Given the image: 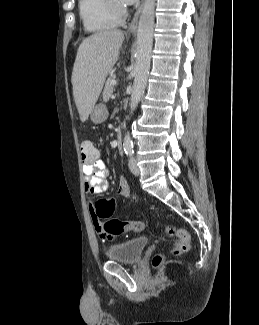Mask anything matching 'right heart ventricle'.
<instances>
[{
	"label": "right heart ventricle",
	"mask_w": 259,
	"mask_h": 325,
	"mask_svg": "<svg viewBox=\"0 0 259 325\" xmlns=\"http://www.w3.org/2000/svg\"><path fill=\"white\" fill-rule=\"evenodd\" d=\"M78 7L86 32H103L114 28L120 22V18L112 11L109 0H79Z\"/></svg>",
	"instance_id": "right-heart-ventricle-1"
}]
</instances>
